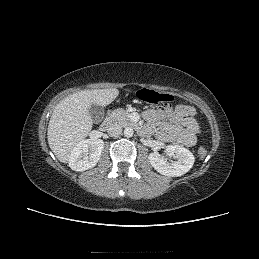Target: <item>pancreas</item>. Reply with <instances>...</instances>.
Instances as JSON below:
<instances>
[{
	"mask_svg": "<svg viewBox=\"0 0 259 259\" xmlns=\"http://www.w3.org/2000/svg\"><path fill=\"white\" fill-rule=\"evenodd\" d=\"M129 115L130 114L124 109H116L110 114V120L120 124L121 126L134 125Z\"/></svg>",
	"mask_w": 259,
	"mask_h": 259,
	"instance_id": "1",
	"label": "pancreas"
}]
</instances>
